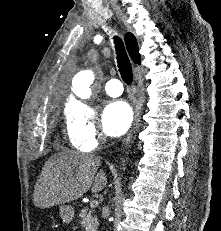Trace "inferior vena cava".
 <instances>
[{"mask_svg": "<svg viewBox=\"0 0 221 231\" xmlns=\"http://www.w3.org/2000/svg\"><path fill=\"white\" fill-rule=\"evenodd\" d=\"M101 141H102V143H105L106 142V136H102Z\"/></svg>", "mask_w": 221, "mask_h": 231, "instance_id": "602c4592", "label": "inferior vena cava"}]
</instances>
